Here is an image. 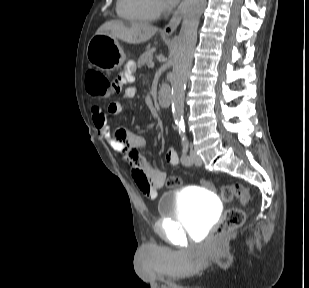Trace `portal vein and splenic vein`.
I'll list each match as a JSON object with an SVG mask.
<instances>
[{
    "mask_svg": "<svg viewBox=\"0 0 309 288\" xmlns=\"http://www.w3.org/2000/svg\"><path fill=\"white\" fill-rule=\"evenodd\" d=\"M148 67H154V62H150V63L148 64Z\"/></svg>",
    "mask_w": 309,
    "mask_h": 288,
    "instance_id": "obj_1",
    "label": "portal vein and splenic vein"
}]
</instances>
